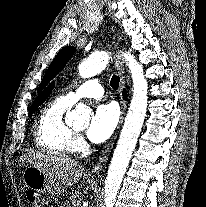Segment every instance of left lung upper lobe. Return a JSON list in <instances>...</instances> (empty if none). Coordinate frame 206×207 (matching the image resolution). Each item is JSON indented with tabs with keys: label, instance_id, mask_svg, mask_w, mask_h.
Wrapping results in <instances>:
<instances>
[{
	"label": "left lung upper lobe",
	"instance_id": "5c2ea615",
	"mask_svg": "<svg viewBox=\"0 0 206 207\" xmlns=\"http://www.w3.org/2000/svg\"><path fill=\"white\" fill-rule=\"evenodd\" d=\"M75 52V47H66L62 49L54 58L53 62L51 63L50 67L48 68L38 91L43 89L46 84L55 77L64 67L65 63L72 57Z\"/></svg>",
	"mask_w": 206,
	"mask_h": 207
}]
</instances>
